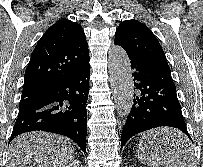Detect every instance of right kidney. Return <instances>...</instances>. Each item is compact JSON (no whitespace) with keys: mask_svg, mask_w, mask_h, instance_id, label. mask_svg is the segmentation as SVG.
<instances>
[{"mask_svg":"<svg viewBox=\"0 0 203 167\" xmlns=\"http://www.w3.org/2000/svg\"><path fill=\"white\" fill-rule=\"evenodd\" d=\"M66 167H82V164L79 161H73L72 163H70Z\"/></svg>","mask_w":203,"mask_h":167,"instance_id":"right-kidney-1","label":"right kidney"}]
</instances>
